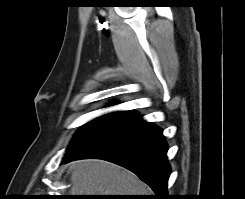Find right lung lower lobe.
<instances>
[{"label": "right lung lower lobe", "mask_w": 245, "mask_h": 199, "mask_svg": "<svg viewBox=\"0 0 245 199\" xmlns=\"http://www.w3.org/2000/svg\"><path fill=\"white\" fill-rule=\"evenodd\" d=\"M167 149L162 130L136 114L95 142L64 157L62 163L84 158L116 163L149 185L155 193L153 199H169L167 184L171 169Z\"/></svg>", "instance_id": "right-lung-lower-lobe-1"}]
</instances>
